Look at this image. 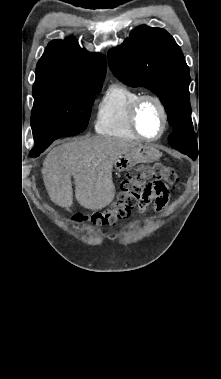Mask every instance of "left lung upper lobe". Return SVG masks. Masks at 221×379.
Masks as SVG:
<instances>
[{"label": "left lung upper lobe", "mask_w": 221, "mask_h": 379, "mask_svg": "<svg viewBox=\"0 0 221 379\" xmlns=\"http://www.w3.org/2000/svg\"><path fill=\"white\" fill-rule=\"evenodd\" d=\"M108 63L119 80L145 87L160 98L173 126L170 145L195 160L198 152L191 120L189 67L173 37L162 28L139 26L121 45L109 50Z\"/></svg>", "instance_id": "obj_1"}]
</instances>
